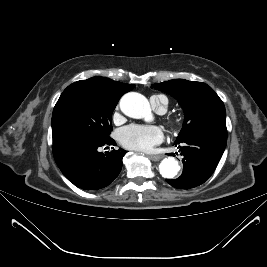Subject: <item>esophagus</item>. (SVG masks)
<instances>
[{"label": "esophagus", "mask_w": 267, "mask_h": 267, "mask_svg": "<svg viewBox=\"0 0 267 267\" xmlns=\"http://www.w3.org/2000/svg\"><path fill=\"white\" fill-rule=\"evenodd\" d=\"M149 158L152 160V161H159L163 158V155H149Z\"/></svg>", "instance_id": "1"}]
</instances>
